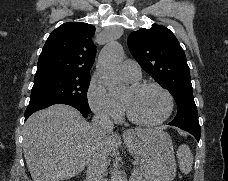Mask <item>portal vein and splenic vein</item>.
Returning <instances> with one entry per match:
<instances>
[{
  "label": "portal vein and splenic vein",
  "mask_w": 228,
  "mask_h": 181,
  "mask_svg": "<svg viewBox=\"0 0 228 181\" xmlns=\"http://www.w3.org/2000/svg\"><path fill=\"white\" fill-rule=\"evenodd\" d=\"M129 172L132 173V174H135L137 171L135 169H132Z\"/></svg>",
  "instance_id": "portal-vein-and-splenic-vein-1"
}]
</instances>
